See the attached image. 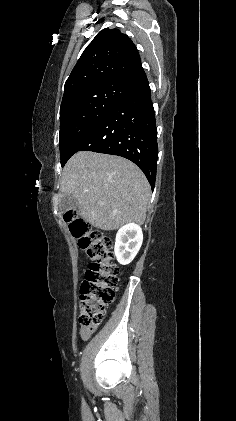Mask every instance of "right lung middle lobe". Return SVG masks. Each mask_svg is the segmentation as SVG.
Returning a JSON list of instances; mask_svg holds the SVG:
<instances>
[{
	"mask_svg": "<svg viewBox=\"0 0 236 421\" xmlns=\"http://www.w3.org/2000/svg\"><path fill=\"white\" fill-rule=\"evenodd\" d=\"M126 92L118 86L81 92L61 104L60 157L62 167L74 154V148L122 98Z\"/></svg>",
	"mask_w": 236,
	"mask_h": 421,
	"instance_id": "1",
	"label": "right lung middle lobe"
}]
</instances>
